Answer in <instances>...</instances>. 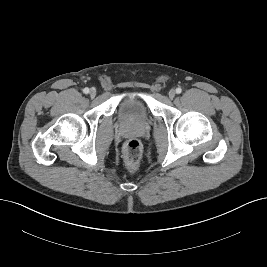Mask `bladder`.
I'll return each mask as SVG.
<instances>
[{
    "mask_svg": "<svg viewBox=\"0 0 267 267\" xmlns=\"http://www.w3.org/2000/svg\"><path fill=\"white\" fill-rule=\"evenodd\" d=\"M117 115L124 121L141 123L148 120L150 110L143 98L139 96L126 97L120 101Z\"/></svg>",
    "mask_w": 267,
    "mask_h": 267,
    "instance_id": "bladder-1",
    "label": "bladder"
}]
</instances>
